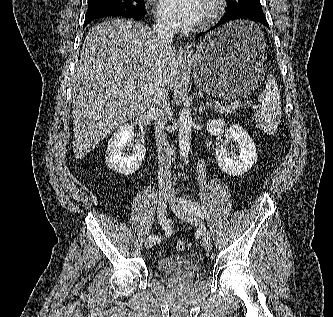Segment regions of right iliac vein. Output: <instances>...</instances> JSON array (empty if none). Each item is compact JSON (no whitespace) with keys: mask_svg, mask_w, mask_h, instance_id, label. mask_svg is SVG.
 Segmentation results:
<instances>
[{"mask_svg":"<svg viewBox=\"0 0 333 317\" xmlns=\"http://www.w3.org/2000/svg\"><path fill=\"white\" fill-rule=\"evenodd\" d=\"M169 195L165 191H160L159 196H158V215L161 218H164L165 213H166V208H167V203H168ZM156 243L155 240L147 238L145 240V246L147 248H151L154 244Z\"/></svg>","mask_w":333,"mask_h":317,"instance_id":"obj_1","label":"right iliac vein"}]
</instances>
